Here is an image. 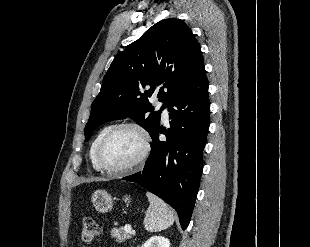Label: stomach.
Returning <instances> with one entry per match:
<instances>
[{"label": "stomach", "mask_w": 310, "mask_h": 247, "mask_svg": "<svg viewBox=\"0 0 310 247\" xmlns=\"http://www.w3.org/2000/svg\"><path fill=\"white\" fill-rule=\"evenodd\" d=\"M129 198H125V202H128ZM91 202L98 212L106 213L113 207V201L111 195L106 190H96L91 196Z\"/></svg>", "instance_id": "1"}]
</instances>
